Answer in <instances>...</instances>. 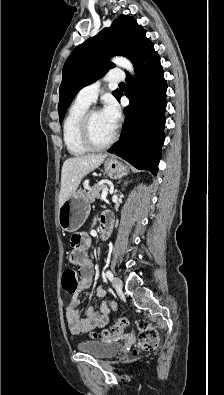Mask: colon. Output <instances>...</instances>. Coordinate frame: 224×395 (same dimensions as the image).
I'll list each match as a JSON object with an SVG mask.
<instances>
[{"mask_svg":"<svg viewBox=\"0 0 224 395\" xmlns=\"http://www.w3.org/2000/svg\"><path fill=\"white\" fill-rule=\"evenodd\" d=\"M77 274L74 269H66L63 273V288L66 292L72 294L77 289ZM129 326V320L126 317H119L115 324L110 328L101 331L100 333H92L93 339H108L110 337L119 336ZM138 327V348L142 351H154L159 346V334L156 329L145 321H139ZM136 353V351H134Z\"/></svg>","mask_w":224,"mask_h":395,"instance_id":"obj_1","label":"colon"}]
</instances>
